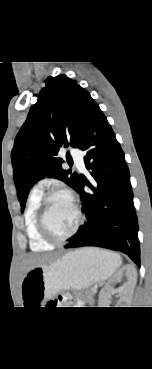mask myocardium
Here are the masks:
<instances>
[{
    "label": "myocardium",
    "mask_w": 152,
    "mask_h": 369,
    "mask_svg": "<svg viewBox=\"0 0 152 369\" xmlns=\"http://www.w3.org/2000/svg\"><path fill=\"white\" fill-rule=\"evenodd\" d=\"M59 195L66 196L70 199V201L72 202L74 206L76 216H77L75 226L73 227L71 232L65 236H56L55 234H53L47 223V213H48L49 202L51 201L52 198H54L55 196H59ZM83 221H84V215L81 211V208L78 204L77 199L71 192L67 190H53V191L48 192L44 196H42V199L40 201L39 210H38V215H37V224H38V228H39V231L42 237L46 241L52 244H59V243L65 242L66 240L70 239L78 232Z\"/></svg>",
    "instance_id": "f54148a6"
}]
</instances>
